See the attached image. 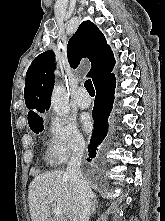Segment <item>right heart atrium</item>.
<instances>
[{
  "label": "right heart atrium",
  "instance_id": "1",
  "mask_svg": "<svg viewBox=\"0 0 165 221\" xmlns=\"http://www.w3.org/2000/svg\"><path fill=\"white\" fill-rule=\"evenodd\" d=\"M86 147L84 136L70 120L54 117L48 129L47 155L55 163H64Z\"/></svg>",
  "mask_w": 165,
  "mask_h": 221
}]
</instances>
